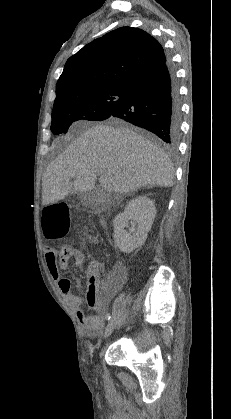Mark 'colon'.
<instances>
[{
    "mask_svg": "<svg viewBox=\"0 0 231 419\" xmlns=\"http://www.w3.org/2000/svg\"><path fill=\"white\" fill-rule=\"evenodd\" d=\"M43 224L45 231L52 237L62 236L70 230L71 215L65 203H57L47 207L43 213ZM90 285H96V273L98 268L93 266L91 269ZM119 272H115L113 278L116 280Z\"/></svg>",
    "mask_w": 231,
    "mask_h": 419,
    "instance_id": "colon-1",
    "label": "colon"
}]
</instances>
